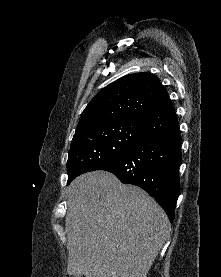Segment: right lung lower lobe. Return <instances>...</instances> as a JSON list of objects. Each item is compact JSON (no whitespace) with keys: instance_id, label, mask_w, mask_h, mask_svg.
I'll return each mask as SVG.
<instances>
[{"instance_id":"right-lung-lower-lobe-1","label":"right lung lower lobe","mask_w":221,"mask_h":277,"mask_svg":"<svg viewBox=\"0 0 221 277\" xmlns=\"http://www.w3.org/2000/svg\"><path fill=\"white\" fill-rule=\"evenodd\" d=\"M138 125L139 134L127 153L100 170L144 189L172 222L180 190L181 136L171 102L143 115Z\"/></svg>"}]
</instances>
